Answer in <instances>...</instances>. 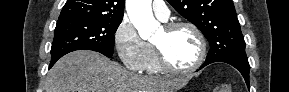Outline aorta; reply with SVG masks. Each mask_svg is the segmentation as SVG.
<instances>
[{"label": "aorta", "mask_w": 289, "mask_h": 92, "mask_svg": "<svg viewBox=\"0 0 289 92\" xmlns=\"http://www.w3.org/2000/svg\"><path fill=\"white\" fill-rule=\"evenodd\" d=\"M151 3L152 0L126 1V10L130 21L142 39H148L152 32L159 27L158 21L153 16Z\"/></svg>", "instance_id": "762f6f07"}]
</instances>
